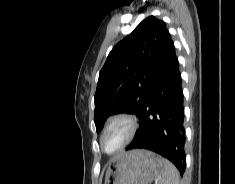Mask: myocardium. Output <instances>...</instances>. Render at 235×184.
Returning a JSON list of instances; mask_svg holds the SVG:
<instances>
[{
	"instance_id": "1",
	"label": "myocardium",
	"mask_w": 235,
	"mask_h": 184,
	"mask_svg": "<svg viewBox=\"0 0 235 184\" xmlns=\"http://www.w3.org/2000/svg\"><path fill=\"white\" fill-rule=\"evenodd\" d=\"M120 121L125 122L127 125L126 136H125L121 146L119 147V149L115 153H106L102 148L103 135L105 134V132L107 130H109L112 126H114L116 123H118ZM138 129H139V119L134 113H132L128 110L115 111L114 113H112L109 116V118L107 119V121H106L103 129L101 130L100 135H99V147H100L101 151L108 156L119 155L120 153H122L125 150V148L136 137Z\"/></svg>"
}]
</instances>
